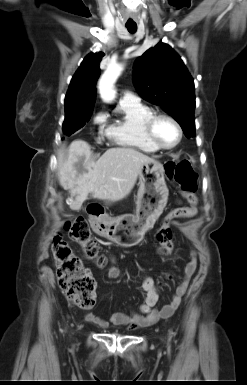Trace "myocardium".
Listing matches in <instances>:
<instances>
[{
  "label": "myocardium",
  "mask_w": 247,
  "mask_h": 385,
  "mask_svg": "<svg viewBox=\"0 0 247 385\" xmlns=\"http://www.w3.org/2000/svg\"><path fill=\"white\" fill-rule=\"evenodd\" d=\"M160 119L169 120L170 122H172L175 125V127L178 131V140L176 141L175 144H173L171 146H165L158 141L156 134H155V125H156V122ZM144 129H145L146 135L149 138V140L160 150H172V149L176 148L181 143L182 138H183V129H182V126L180 125V123L178 122V120L176 118H174L173 116L166 114V113H156L155 112V113L151 114L145 121Z\"/></svg>",
  "instance_id": "f54148a6"
}]
</instances>
